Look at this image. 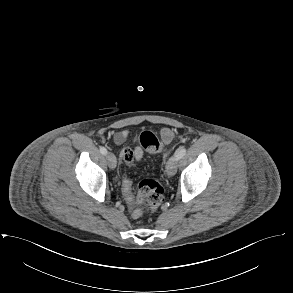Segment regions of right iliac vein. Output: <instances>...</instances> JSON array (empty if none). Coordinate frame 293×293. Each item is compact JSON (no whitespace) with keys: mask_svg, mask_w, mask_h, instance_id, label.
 Returning <instances> with one entry per match:
<instances>
[{"mask_svg":"<svg viewBox=\"0 0 293 293\" xmlns=\"http://www.w3.org/2000/svg\"><path fill=\"white\" fill-rule=\"evenodd\" d=\"M107 161H108V165L110 167V169H115L116 167V157L113 153L109 152L106 155Z\"/></svg>","mask_w":293,"mask_h":293,"instance_id":"obj_1","label":"right iliac vein"}]
</instances>
